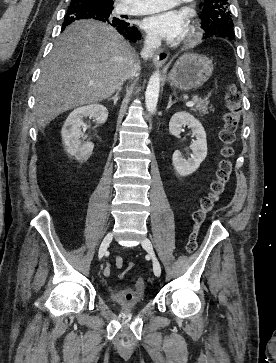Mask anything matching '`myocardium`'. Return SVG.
<instances>
[{
	"mask_svg": "<svg viewBox=\"0 0 276 363\" xmlns=\"http://www.w3.org/2000/svg\"><path fill=\"white\" fill-rule=\"evenodd\" d=\"M201 31L196 23H192L189 28V31L185 37L184 43L186 45H194L200 39Z\"/></svg>",
	"mask_w": 276,
	"mask_h": 363,
	"instance_id": "1",
	"label": "myocardium"
}]
</instances>
